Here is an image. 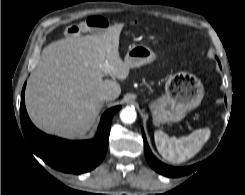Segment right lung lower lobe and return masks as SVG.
<instances>
[{"label": "right lung lower lobe", "instance_id": "right-lung-lower-lobe-1", "mask_svg": "<svg viewBox=\"0 0 245 195\" xmlns=\"http://www.w3.org/2000/svg\"><path fill=\"white\" fill-rule=\"evenodd\" d=\"M25 85L21 94L20 121L33 153L52 168L65 173L81 174L98 166L107 152L112 118L121 107H113L103 114L94 139L69 141L46 135L32 124L25 108Z\"/></svg>", "mask_w": 245, "mask_h": 195}]
</instances>
